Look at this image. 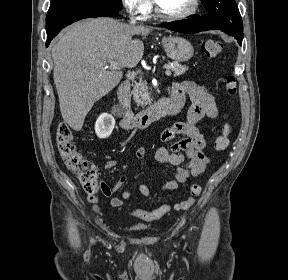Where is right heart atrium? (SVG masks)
I'll use <instances>...</instances> for the list:
<instances>
[{"label": "right heart atrium", "instance_id": "1", "mask_svg": "<svg viewBox=\"0 0 288 280\" xmlns=\"http://www.w3.org/2000/svg\"><path fill=\"white\" fill-rule=\"evenodd\" d=\"M126 11L137 18H145L152 9L151 0H122Z\"/></svg>", "mask_w": 288, "mask_h": 280}]
</instances>
